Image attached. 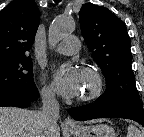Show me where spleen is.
I'll use <instances>...</instances> for the list:
<instances>
[{
    "instance_id": "obj_1",
    "label": "spleen",
    "mask_w": 144,
    "mask_h": 137,
    "mask_svg": "<svg viewBox=\"0 0 144 137\" xmlns=\"http://www.w3.org/2000/svg\"><path fill=\"white\" fill-rule=\"evenodd\" d=\"M127 137H144V133H142L136 126L129 125L127 128Z\"/></svg>"
}]
</instances>
